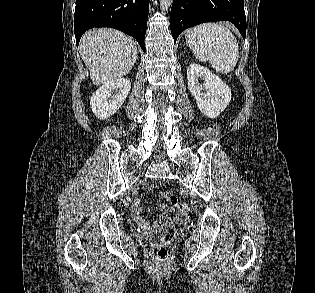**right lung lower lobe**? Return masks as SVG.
<instances>
[{
	"instance_id": "98d812e1",
	"label": "right lung lower lobe",
	"mask_w": 315,
	"mask_h": 293,
	"mask_svg": "<svg viewBox=\"0 0 315 293\" xmlns=\"http://www.w3.org/2000/svg\"><path fill=\"white\" fill-rule=\"evenodd\" d=\"M149 0H76L74 32L78 46L82 34L93 27H111L133 36L145 52Z\"/></svg>"
}]
</instances>
